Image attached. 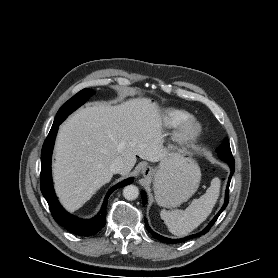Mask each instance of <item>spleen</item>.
<instances>
[{
  "label": "spleen",
  "instance_id": "3e777b00",
  "mask_svg": "<svg viewBox=\"0 0 278 278\" xmlns=\"http://www.w3.org/2000/svg\"><path fill=\"white\" fill-rule=\"evenodd\" d=\"M220 180L214 178L210 187L200 198L194 199L191 204L182 210H165L160 213L168 230L176 236H184L196 229L211 214L219 196Z\"/></svg>",
  "mask_w": 278,
  "mask_h": 278
}]
</instances>
